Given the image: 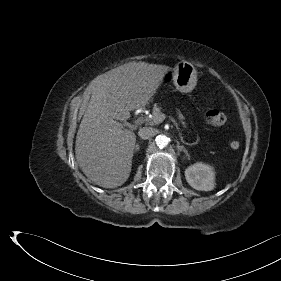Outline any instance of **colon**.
I'll use <instances>...</instances> for the list:
<instances>
[{"instance_id": "5ec220e1", "label": "colon", "mask_w": 281, "mask_h": 281, "mask_svg": "<svg viewBox=\"0 0 281 281\" xmlns=\"http://www.w3.org/2000/svg\"><path fill=\"white\" fill-rule=\"evenodd\" d=\"M206 120L209 124L218 126L224 124L227 120V117L223 111L218 109H212L206 113ZM229 146L232 149H238L240 146V142L236 139H232L229 141Z\"/></svg>"}]
</instances>
